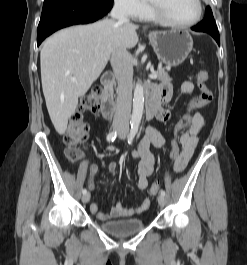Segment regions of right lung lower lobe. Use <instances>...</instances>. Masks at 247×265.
Here are the masks:
<instances>
[{
    "mask_svg": "<svg viewBox=\"0 0 247 265\" xmlns=\"http://www.w3.org/2000/svg\"><path fill=\"white\" fill-rule=\"evenodd\" d=\"M112 6L113 0H45L37 30V45L61 28L98 20Z\"/></svg>",
    "mask_w": 247,
    "mask_h": 265,
    "instance_id": "98d812e1",
    "label": "right lung lower lobe"
}]
</instances>
